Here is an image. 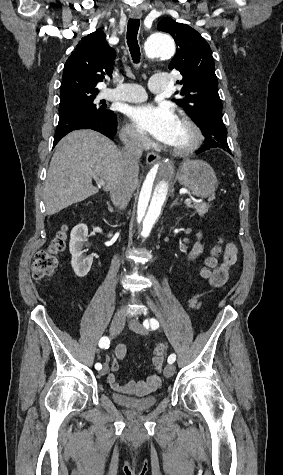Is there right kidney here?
<instances>
[{"label": "right kidney", "instance_id": "ca27d5eb", "mask_svg": "<svg viewBox=\"0 0 283 475\" xmlns=\"http://www.w3.org/2000/svg\"><path fill=\"white\" fill-rule=\"evenodd\" d=\"M88 236V228L86 224H78L71 230L69 249L72 253L71 265L79 277H84L90 271L93 257L91 255H84L83 245ZM87 251V249H86Z\"/></svg>", "mask_w": 283, "mask_h": 475}]
</instances>
